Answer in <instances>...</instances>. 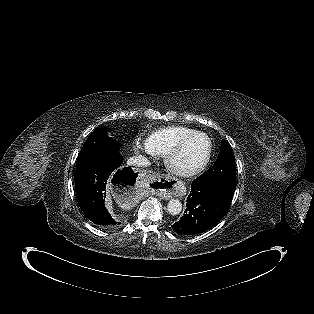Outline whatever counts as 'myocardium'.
<instances>
[{"mask_svg":"<svg viewBox=\"0 0 314 314\" xmlns=\"http://www.w3.org/2000/svg\"><path fill=\"white\" fill-rule=\"evenodd\" d=\"M196 136L204 137L208 142V151L205 159L201 164L194 168L183 169L176 165V159L184 150L188 141ZM213 155V142L211 138L204 132L195 131L183 137L165 156L164 163L166 168L175 175L181 177H193L202 173L210 164Z\"/></svg>","mask_w":314,"mask_h":314,"instance_id":"myocardium-1","label":"myocardium"}]
</instances>
